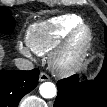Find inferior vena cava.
<instances>
[{
	"label": "inferior vena cava",
	"instance_id": "inferior-vena-cava-1",
	"mask_svg": "<svg viewBox=\"0 0 107 107\" xmlns=\"http://www.w3.org/2000/svg\"><path fill=\"white\" fill-rule=\"evenodd\" d=\"M15 65L19 70H32L34 68L33 63L25 58H16Z\"/></svg>",
	"mask_w": 107,
	"mask_h": 107
}]
</instances>
